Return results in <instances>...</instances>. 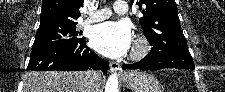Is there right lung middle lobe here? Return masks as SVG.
Wrapping results in <instances>:
<instances>
[{
  "instance_id": "dd1d6c3e",
  "label": "right lung middle lobe",
  "mask_w": 225,
  "mask_h": 92,
  "mask_svg": "<svg viewBox=\"0 0 225 92\" xmlns=\"http://www.w3.org/2000/svg\"><path fill=\"white\" fill-rule=\"evenodd\" d=\"M76 22H52L41 24L36 32L33 49L47 46L65 45L79 42L83 38H77Z\"/></svg>"
}]
</instances>
